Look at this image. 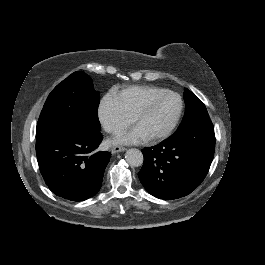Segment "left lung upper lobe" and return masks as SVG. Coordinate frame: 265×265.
<instances>
[{"mask_svg":"<svg viewBox=\"0 0 265 265\" xmlns=\"http://www.w3.org/2000/svg\"><path fill=\"white\" fill-rule=\"evenodd\" d=\"M184 99L186 104V111L178 129L196 123L200 120L209 118L205 105L190 90L185 89Z\"/></svg>","mask_w":265,"mask_h":265,"instance_id":"left-lung-upper-lobe-1","label":"left lung upper lobe"}]
</instances>
